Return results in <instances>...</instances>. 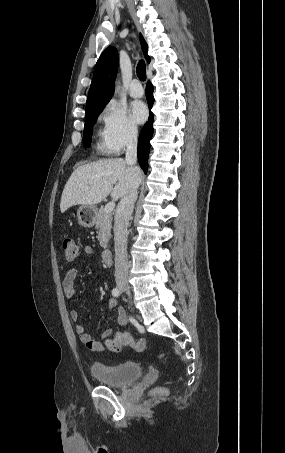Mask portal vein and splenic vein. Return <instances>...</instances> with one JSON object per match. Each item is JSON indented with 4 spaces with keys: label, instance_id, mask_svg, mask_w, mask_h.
<instances>
[{
    "label": "portal vein and splenic vein",
    "instance_id": "18ae733b",
    "mask_svg": "<svg viewBox=\"0 0 285 453\" xmlns=\"http://www.w3.org/2000/svg\"><path fill=\"white\" fill-rule=\"evenodd\" d=\"M114 208H115V203L112 201V202H108L104 209L107 213H111L114 210Z\"/></svg>",
    "mask_w": 285,
    "mask_h": 453
}]
</instances>
